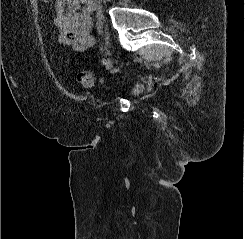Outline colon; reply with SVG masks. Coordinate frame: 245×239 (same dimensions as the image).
I'll list each match as a JSON object with an SVG mask.
<instances>
[{
  "mask_svg": "<svg viewBox=\"0 0 245 239\" xmlns=\"http://www.w3.org/2000/svg\"><path fill=\"white\" fill-rule=\"evenodd\" d=\"M44 2H50L51 0H42ZM78 82L84 87V88H92L94 87L98 82L104 83V79H100L99 81L96 80L94 75L87 70L81 71L77 76Z\"/></svg>",
  "mask_w": 245,
  "mask_h": 239,
  "instance_id": "1",
  "label": "colon"
}]
</instances>
